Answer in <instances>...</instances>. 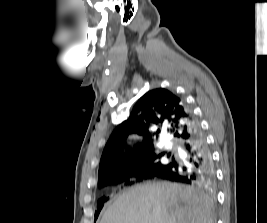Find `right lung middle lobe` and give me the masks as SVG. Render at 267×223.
Instances as JSON below:
<instances>
[{"label":"right lung middle lobe","instance_id":"obj_1","mask_svg":"<svg viewBox=\"0 0 267 223\" xmlns=\"http://www.w3.org/2000/svg\"><path fill=\"white\" fill-rule=\"evenodd\" d=\"M167 158L168 162H164L162 158ZM175 157L171 152L157 154L156 152L148 156L140 157L131 165V173L125 172L123 167L113 168L109 170L102 178L99 179V186H106L112 184L118 178L137 177L138 179L150 178L156 176L162 169L175 162ZM107 198H101L98 201L97 212L95 218L103 207Z\"/></svg>","mask_w":267,"mask_h":223}]
</instances>
